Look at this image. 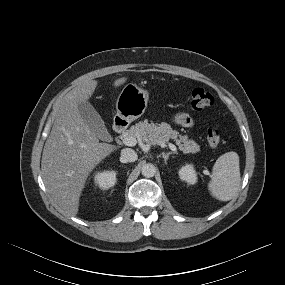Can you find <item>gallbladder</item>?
<instances>
[{"label": "gallbladder", "mask_w": 285, "mask_h": 285, "mask_svg": "<svg viewBox=\"0 0 285 285\" xmlns=\"http://www.w3.org/2000/svg\"><path fill=\"white\" fill-rule=\"evenodd\" d=\"M78 110L84 123L99 139L102 141L111 140V135L109 134L104 121L89 102H81L78 105Z\"/></svg>", "instance_id": "obj_1"}]
</instances>
